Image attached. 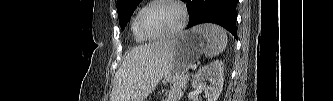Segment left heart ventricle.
Masks as SVG:
<instances>
[{"label": "left heart ventricle", "instance_id": "obj_1", "mask_svg": "<svg viewBox=\"0 0 333 101\" xmlns=\"http://www.w3.org/2000/svg\"><path fill=\"white\" fill-rule=\"evenodd\" d=\"M180 12L168 3L150 7L143 16L144 28L152 35L165 34L175 29L180 22Z\"/></svg>", "mask_w": 333, "mask_h": 101}]
</instances>
